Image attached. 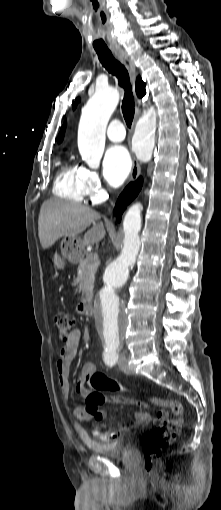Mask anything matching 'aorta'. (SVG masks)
Here are the masks:
<instances>
[{
	"instance_id": "762f6f07",
	"label": "aorta",
	"mask_w": 221,
	"mask_h": 510,
	"mask_svg": "<svg viewBox=\"0 0 221 510\" xmlns=\"http://www.w3.org/2000/svg\"><path fill=\"white\" fill-rule=\"evenodd\" d=\"M119 102V92L113 87L96 89L82 110L78 128V148L82 159L98 168L105 147L108 121ZM156 112L150 108L136 124L132 139L137 158L148 162L155 144ZM140 203L133 204L123 220V249L121 254L105 269L102 284L94 299V316L102 342L108 349H118L127 326L125 305L118 290L126 283L129 269L140 250Z\"/></svg>"
}]
</instances>
